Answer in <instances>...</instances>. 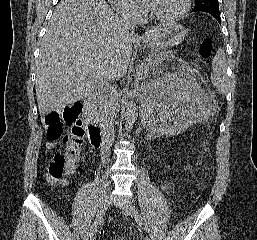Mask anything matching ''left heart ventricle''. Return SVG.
<instances>
[{
  "instance_id": "1",
  "label": "left heart ventricle",
  "mask_w": 257,
  "mask_h": 240,
  "mask_svg": "<svg viewBox=\"0 0 257 240\" xmlns=\"http://www.w3.org/2000/svg\"><path fill=\"white\" fill-rule=\"evenodd\" d=\"M183 0H147L151 10L158 15H169L177 11Z\"/></svg>"
}]
</instances>
